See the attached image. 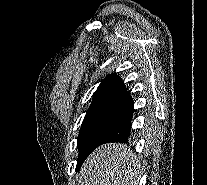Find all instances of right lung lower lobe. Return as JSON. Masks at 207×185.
Instances as JSON below:
<instances>
[{
    "mask_svg": "<svg viewBox=\"0 0 207 185\" xmlns=\"http://www.w3.org/2000/svg\"><path fill=\"white\" fill-rule=\"evenodd\" d=\"M132 114L133 107L125 112L120 120L114 126H112L108 132H106V134L98 142L97 147L108 142L127 143L131 132Z\"/></svg>",
    "mask_w": 207,
    "mask_h": 185,
    "instance_id": "right-lung-lower-lobe-1",
    "label": "right lung lower lobe"
}]
</instances>
